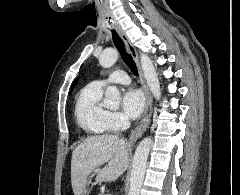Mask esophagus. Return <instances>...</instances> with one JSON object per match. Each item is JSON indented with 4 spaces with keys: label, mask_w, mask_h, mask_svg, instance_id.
Returning a JSON list of instances; mask_svg holds the SVG:
<instances>
[{
    "label": "esophagus",
    "mask_w": 240,
    "mask_h": 195,
    "mask_svg": "<svg viewBox=\"0 0 240 195\" xmlns=\"http://www.w3.org/2000/svg\"><path fill=\"white\" fill-rule=\"evenodd\" d=\"M112 27L116 30V32H118L121 39L125 43V46H126L128 52L131 54V56L133 57V60L136 63V66H137L138 72H139V76H140V80L144 87V91H145V95H146V103H145L144 113L139 121V124L137 125V127L134 130H132L130 137H129V143L133 144L142 136V134L145 132L148 125L150 124L151 116H152V96H151L149 89L144 81L141 64L139 61L138 54L135 50V47L132 45V43L130 42V39L128 38V36L126 35V33L124 32V30L122 29V27L120 25L112 24Z\"/></svg>",
    "instance_id": "34e87169"
}]
</instances>
